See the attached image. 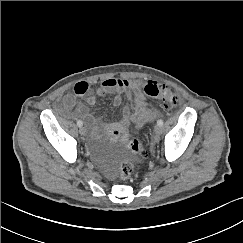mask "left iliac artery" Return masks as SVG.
Instances as JSON below:
<instances>
[{"mask_svg": "<svg viewBox=\"0 0 243 243\" xmlns=\"http://www.w3.org/2000/svg\"><path fill=\"white\" fill-rule=\"evenodd\" d=\"M157 125H159V126H163V120H162V119H159V120L157 121Z\"/></svg>", "mask_w": 243, "mask_h": 243, "instance_id": "left-iliac-artery-1", "label": "left iliac artery"}]
</instances>
